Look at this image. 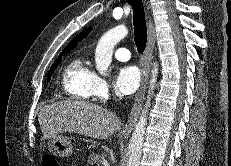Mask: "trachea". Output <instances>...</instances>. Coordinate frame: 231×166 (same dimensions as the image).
<instances>
[{
    "label": "trachea",
    "mask_w": 231,
    "mask_h": 166,
    "mask_svg": "<svg viewBox=\"0 0 231 166\" xmlns=\"http://www.w3.org/2000/svg\"><path fill=\"white\" fill-rule=\"evenodd\" d=\"M133 9L134 40L139 53H143L147 42V27L142 0H130Z\"/></svg>",
    "instance_id": "obj_1"
}]
</instances>
